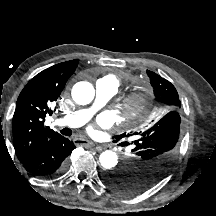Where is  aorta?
Returning a JSON list of instances; mask_svg holds the SVG:
<instances>
[{"label": "aorta", "instance_id": "aorta-1", "mask_svg": "<svg viewBox=\"0 0 216 216\" xmlns=\"http://www.w3.org/2000/svg\"><path fill=\"white\" fill-rule=\"evenodd\" d=\"M95 90L89 82H78L73 86L72 98L79 105H86L94 99ZM100 165L104 169H112L118 163V156L114 151L106 150L99 157Z\"/></svg>", "mask_w": 216, "mask_h": 216}]
</instances>
